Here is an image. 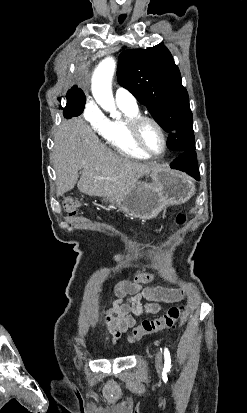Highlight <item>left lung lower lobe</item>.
I'll list each match as a JSON object with an SVG mask.
<instances>
[{
  "instance_id": "1",
  "label": "left lung lower lobe",
  "mask_w": 247,
  "mask_h": 413,
  "mask_svg": "<svg viewBox=\"0 0 247 413\" xmlns=\"http://www.w3.org/2000/svg\"><path fill=\"white\" fill-rule=\"evenodd\" d=\"M170 167L184 171L196 180H200L195 150L179 152V157L170 164Z\"/></svg>"
}]
</instances>
